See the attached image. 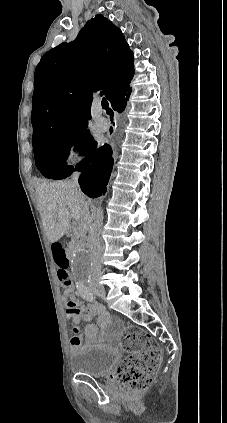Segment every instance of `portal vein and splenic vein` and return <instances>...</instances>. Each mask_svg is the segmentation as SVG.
<instances>
[{"label": "portal vein and splenic vein", "instance_id": "1", "mask_svg": "<svg viewBox=\"0 0 227 423\" xmlns=\"http://www.w3.org/2000/svg\"><path fill=\"white\" fill-rule=\"evenodd\" d=\"M72 215H73V217H79L77 211H76V214H72Z\"/></svg>", "mask_w": 227, "mask_h": 423}]
</instances>
